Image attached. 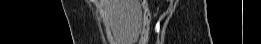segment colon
Listing matches in <instances>:
<instances>
[{"label": "colon", "instance_id": "5ec220e1", "mask_svg": "<svg viewBox=\"0 0 261 44\" xmlns=\"http://www.w3.org/2000/svg\"><path fill=\"white\" fill-rule=\"evenodd\" d=\"M142 2V4H143V12H144V22H143V24H144V26H145V23H146V21H147V19H148V16H147V9H146V1H141Z\"/></svg>", "mask_w": 261, "mask_h": 44}]
</instances>
